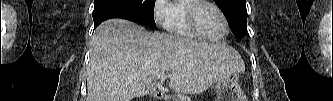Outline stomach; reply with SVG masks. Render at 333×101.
Returning <instances> with one entry per match:
<instances>
[{"label":"stomach","mask_w":333,"mask_h":101,"mask_svg":"<svg viewBox=\"0 0 333 101\" xmlns=\"http://www.w3.org/2000/svg\"><path fill=\"white\" fill-rule=\"evenodd\" d=\"M217 96L215 101H247L239 84V75L225 77L215 85Z\"/></svg>","instance_id":"stomach-1"}]
</instances>
